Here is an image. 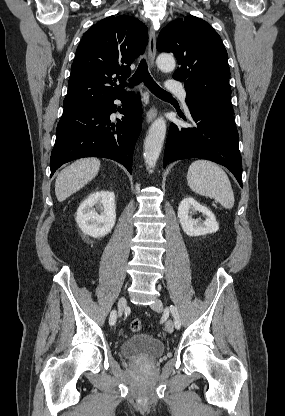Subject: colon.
<instances>
[{
  "label": "colon",
  "instance_id": "colon-1",
  "mask_svg": "<svg viewBox=\"0 0 285 416\" xmlns=\"http://www.w3.org/2000/svg\"><path fill=\"white\" fill-rule=\"evenodd\" d=\"M130 328L133 332H138L142 329V322L139 319H134L131 324Z\"/></svg>",
  "mask_w": 285,
  "mask_h": 416
}]
</instances>
